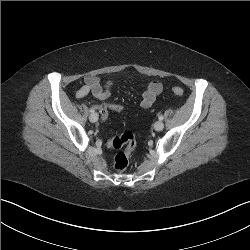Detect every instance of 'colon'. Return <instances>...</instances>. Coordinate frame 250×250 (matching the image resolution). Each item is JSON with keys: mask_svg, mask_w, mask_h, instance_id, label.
Returning a JSON list of instances; mask_svg holds the SVG:
<instances>
[{"mask_svg": "<svg viewBox=\"0 0 250 250\" xmlns=\"http://www.w3.org/2000/svg\"><path fill=\"white\" fill-rule=\"evenodd\" d=\"M173 92L177 96H182L184 91L179 86H174L172 88ZM111 108L118 115H123L124 107L117 103H112L111 105L103 104L100 108L101 119L105 121L108 117V109ZM101 142L104 143L106 149H116L120 150L114 159L113 167L117 172H123L126 170L129 164V159L136 147V139L133 133L124 132L114 138H109L107 136L101 137Z\"/></svg>", "mask_w": 250, "mask_h": 250, "instance_id": "5ec220e1", "label": "colon"}]
</instances>
